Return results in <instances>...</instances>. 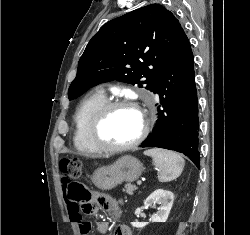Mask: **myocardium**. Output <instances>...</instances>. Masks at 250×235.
Here are the masks:
<instances>
[{
  "label": "myocardium",
  "mask_w": 250,
  "mask_h": 235,
  "mask_svg": "<svg viewBox=\"0 0 250 235\" xmlns=\"http://www.w3.org/2000/svg\"><path fill=\"white\" fill-rule=\"evenodd\" d=\"M132 108L139 111L142 115V128L138 136L127 144L114 145L106 142L102 138V126L107 116L117 108ZM150 118L147 111L135 100L131 98H117L106 101L94 114L89 125V138L94 146L105 152H123L136 148L146 138L149 131Z\"/></svg>",
  "instance_id": "1"
}]
</instances>
